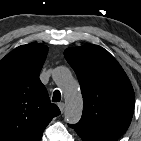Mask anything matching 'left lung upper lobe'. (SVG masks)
Masks as SVG:
<instances>
[{
    "instance_id": "5c2ea615",
    "label": "left lung upper lobe",
    "mask_w": 141,
    "mask_h": 141,
    "mask_svg": "<svg viewBox=\"0 0 141 141\" xmlns=\"http://www.w3.org/2000/svg\"><path fill=\"white\" fill-rule=\"evenodd\" d=\"M83 95L81 120L70 125L83 141H116L134 112V91L120 64L104 48L84 45L65 50Z\"/></svg>"
}]
</instances>
